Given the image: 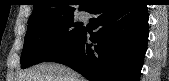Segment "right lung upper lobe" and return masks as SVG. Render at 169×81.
Masks as SVG:
<instances>
[{
  "label": "right lung upper lobe",
  "mask_w": 169,
  "mask_h": 81,
  "mask_svg": "<svg viewBox=\"0 0 169 81\" xmlns=\"http://www.w3.org/2000/svg\"><path fill=\"white\" fill-rule=\"evenodd\" d=\"M75 2L76 0H34L33 13L28 24L47 18L73 15L76 10L74 8ZM91 8L92 2L86 1L81 3L79 10L88 12Z\"/></svg>",
  "instance_id": "cb5924a9"
}]
</instances>
